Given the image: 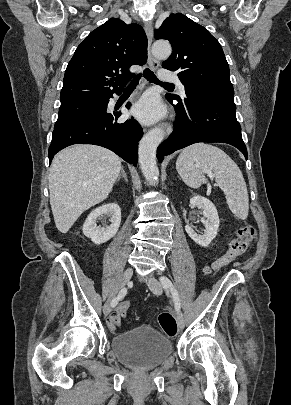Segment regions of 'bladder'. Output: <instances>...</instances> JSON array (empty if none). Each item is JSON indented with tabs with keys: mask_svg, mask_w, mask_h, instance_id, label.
<instances>
[{
	"mask_svg": "<svg viewBox=\"0 0 291 405\" xmlns=\"http://www.w3.org/2000/svg\"><path fill=\"white\" fill-rule=\"evenodd\" d=\"M111 348L118 359L136 369H151L167 360L173 351L172 341L150 326H138L115 335Z\"/></svg>",
	"mask_w": 291,
	"mask_h": 405,
	"instance_id": "1",
	"label": "bladder"
}]
</instances>
